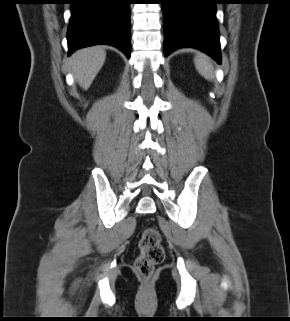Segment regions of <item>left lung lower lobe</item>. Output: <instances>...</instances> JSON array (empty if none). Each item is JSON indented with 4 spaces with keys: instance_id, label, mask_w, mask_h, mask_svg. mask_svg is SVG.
I'll return each mask as SVG.
<instances>
[{
    "instance_id": "1",
    "label": "left lung lower lobe",
    "mask_w": 290,
    "mask_h": 321,
    "mask_svg": "<svg viewBox=\"0 0 290 321\" xmlns=\"http://www.w3.org/2000/svg\"><path fill=\"white\" fill-rule=\"evenodd\" d=\"M216 4L219 0H163L165 56L192 47L221 63Z\"/></svg>"
}]
</instances>
